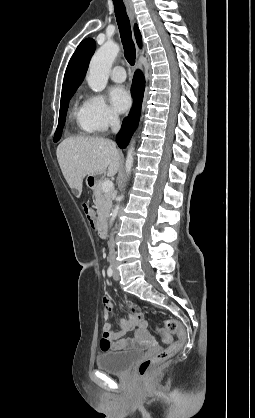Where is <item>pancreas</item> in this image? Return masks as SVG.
I'll return each instance as SVG.
<instances>
[{
    "mask_svg": "<svg viewBox=\"0 0 255 418\" xmlns=\"http://www.w3.org/2000/svg\"><path fill=\"white\" fill-rule=\"evenodd\" d=\"M105 178L99 180L97 186L94 188V204L97 209L99 220L104 219L110 211L112 206V191L104 192L102 190V184Z\"/></svg>",
    "mask_w": 255,
    "mask_h": 418,
    "instance_id": "pancreas-1",
    "label": "pancreas"
}]
</instances>
